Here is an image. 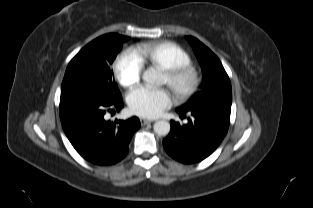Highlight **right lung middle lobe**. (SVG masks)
<instances>
[{
	"mask_svg": "<svg viewBox=\"0 0 313 208\" xmlns=\"http://www.w3.org/2000/svg\"><path fill=\"white\" fill-rule=\"evenodd\" d=\"M129 38L115 33L98 37L70 61L65 72L63 84L68 81L81 83L94 88L106 98L121 97L113 78L111 65Z\"/></svg>",
	"mask_w": 313,
	"mask_h": 208,
	"instance_id": "1",
	"label": "right lung middle lobe"
}]
</instances>
